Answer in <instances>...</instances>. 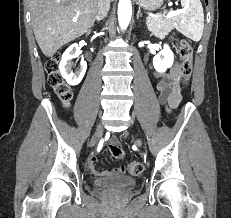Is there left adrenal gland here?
Wrapping results in <instances>:
<instances>
[{"label":"left adrenal gland","instance_id":"obj_1","mask_svg":"<svg viewBox=\"0 0 231 218\" xmlns=\"http://www.w3.org/2000/svg\"><path fill=\"white\" fill-rule=\"evenodd\" d=\"M139 17H141V9H140V7H139V10L137 12V19H139Z\"/></svg>","mask_w":231,"mask_h":218}]
</instances>
